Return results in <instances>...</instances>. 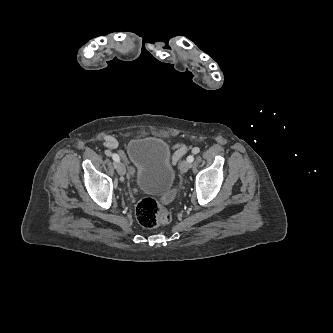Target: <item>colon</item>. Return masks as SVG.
I'll use <instances>...</instances> for the list:
<instances>
[{
	"label": "colon",
	"instance_id": "1",
	"mask_svg": "<svg viewBox=\"0 0 333 333\" xmlns=\"http://www.w3.org/2000/svg\"><path fill=\"white\" fill-rule=\"evenodd\" d=\"M136 218L145 228H154L170 221V213L153 197H145L136 207Z\"/></svg>",
	"mask_w": 333,
	"mask_h": 333
}]
</instances>
